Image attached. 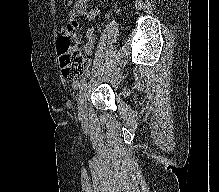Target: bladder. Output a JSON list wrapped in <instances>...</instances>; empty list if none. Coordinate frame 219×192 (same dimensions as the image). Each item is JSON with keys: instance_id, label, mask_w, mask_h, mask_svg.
Masks as SVG:
<instances>
[{"instance_id": "bladder-1", "label": "bladder", "mask_w": 219, "mask_h": 192, "mask_svg": "<svg viewBox=\"0 0 219 192\" xmlns=\"http://www.w3.org/2000/svg\"><path fill=\"white\" fill-rule=\"evenodd\" d=\"M117 94H118L119 98L124 97L125 89L124 88H119L118 91H117Z\"/></svg>"}]
</instances>
